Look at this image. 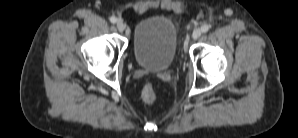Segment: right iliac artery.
Wrapping results in <instances>:
<instances>
[{"label": "right iliac artery", "instance_id": "82829eb1", "mask_svg": "<svg viewBox=\"0 0 298 138\" xmlns=\"http://www.w3.org/2000/svg\"><path fill=\"white\" fill-rule=\"evenodd\" d=\"M116 21H117L116 17H114V16L110 17V22L111 23H116Z\"/></svg>", "mask_w": 298, "mask_h": 138}]
</instances>
